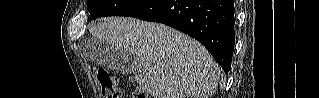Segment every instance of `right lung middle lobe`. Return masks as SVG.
Here are the masks:
<instances>
[{"label":"right lung middle lobe","instance_id":"obj_1","mask_svg":"<svg viewBox=\"0 0 319 98\" xmlns=\"http://www.w3.org/2000/svg\"><path fill=\"white\" fill-rule=\"evenodd\" d=\"M146 0H88L90 19L103 16H118Z\"/></svg>","mask_w":319,"mask_h":98}]
</instances>
